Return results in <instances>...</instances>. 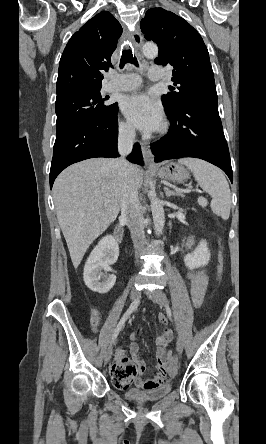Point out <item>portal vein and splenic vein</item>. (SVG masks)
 Here are the masks:
<instances>
[{"label": "portal vein and splenic vein", "mask_w": 266, "mask_h": 444, "mask_svg": "<svg viewBox=\"0 0 266 444\" xmlns=\"http://www.w3.org/2000/svg\"><path fill=\"white\" fill-rule=\"evenodd\" d=\"M176 191H180V192H184V193H189L192 190L191 189H176ZM108 202H109V200H106V203H108Z\"/></svg>", "instance_id": "18ae733b"}]
</instances>
